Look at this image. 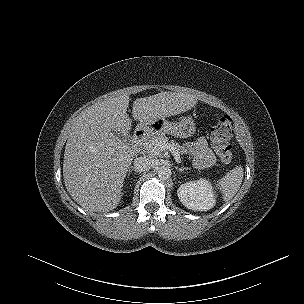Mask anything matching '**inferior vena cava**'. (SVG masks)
<instances>
[{"instance_id":"602c4592","label":"inferior vena cava","mask_w":304,"mask_h":304,"mask_svg":"<svg viewBox=\"0 0 304 304\" xmlns=\"http://www.w3.org/2000/svg\"><path fill=\"white\" fill-rule=\"evenodd\" d=\"M154 160L149 157L143 156L134 159V169L137 172H145L154 167Z\"/></svg>"}]
</instances>
